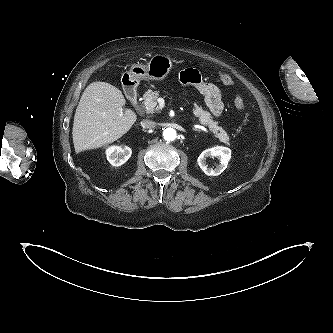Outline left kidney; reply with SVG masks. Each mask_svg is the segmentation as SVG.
Here are the masks:
<instances>
[{"label":"left kidney","instance_id":"1","mask_svg":"<svg viewBox=\"0 0 333 333\" xmlns=\"http://www.w3.org/2000/svg\"><path fill=\"white\" fill-rule=\"evenodd\" d=\"M208 157H216L219 160V165L215 169L208 168L206 159ZM231 158V150L227 147L216 146L210 149L204 150L198 157L197 162L202 171L208 176L220 175L228 165Z\"/></svg>","mask_w":333,"mask_h":333}]
</instances>
